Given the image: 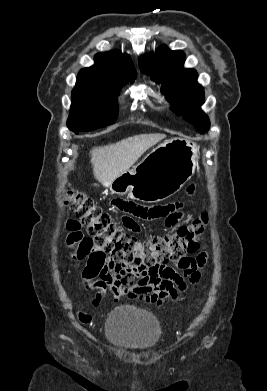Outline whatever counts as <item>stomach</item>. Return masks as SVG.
Masks as SVG:
<instances>
[{
    "instance_id": "obj_1",
    "label": "stomach",
    "mask_w": 267,
    "mask_h": 391,
    "mask_svg": "<svg viewBox=\"0 0 267 391\" xmlns=\"http://www.w3.org/2000/svg\"><path fill=\"white\" fill-rule=\"evenodd\" d=\"M197 164L196 144L171 138L154 148L133 169L118 176L110 190L146 203L159 202L178 192L191 178Z\"/></svg>"
}]
</instances>
